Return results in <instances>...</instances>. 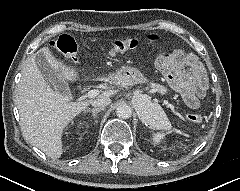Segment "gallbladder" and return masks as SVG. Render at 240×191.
I'll return each instance as SVG.
<instances>
[{"instance_id":"gallbladder-1","label":"gallbladder","mask_w":240,"mask_h":191,"mask_svg":"<svg viewBox=\"0 0 240 191\" xmlns=\"http://www.w3.org/2000/svg\"><path fill=\"white\" fill-rule=\"evenodd\" d=\"M36 64L43 75L44 79L51 83L55 89L62 94H70V88L57 73V71L50 65L43 54L36 56Z\"/></svg>"}]
</instances>
